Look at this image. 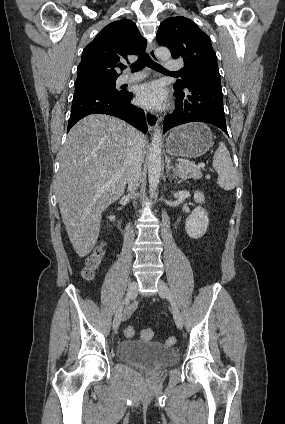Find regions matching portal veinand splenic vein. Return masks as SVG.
<instances>
[{"mask_svg":"<svg viewBox=\"0 0 285 424\" xmlns=\"http://www.w3.org/2000/svg\"><path fill=\"white\" fill-rule=\"evenodd\" d=\"M197 167H198V168H204V167H205V164H204V163H199V164L197 165Z\"/></svg>","mask_w":285,"mask_h":424,"instance_id":"1","label":"portal vein and splenic vein"}]
</instances>
